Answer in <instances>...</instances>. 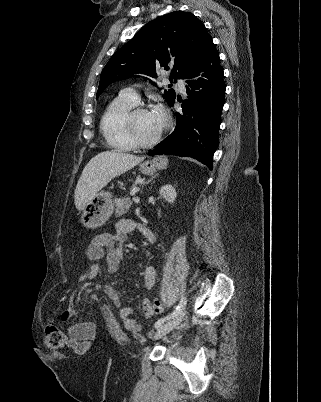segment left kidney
I'll list each match as a JSON object with an SVG mask.
<instances>
[{
  "label": "left kidney",
  "instance_id": "left-kidney-1",
  "mask_svg": "<svg viewBox=\"0 0 321 402\" xmlns=\"http://www.w3.org/2000/svg\"><path fill=\"white\" fill-rule=\"evenodd\" d=\"M160 195L166 200L168 201L170 204L174 203L176 197H177V193L175 188L170 185H164L161 187L160 189Z\"/></svg>",
  "mask_w": 321,
  "mask_h": 402
}]
</instances>
